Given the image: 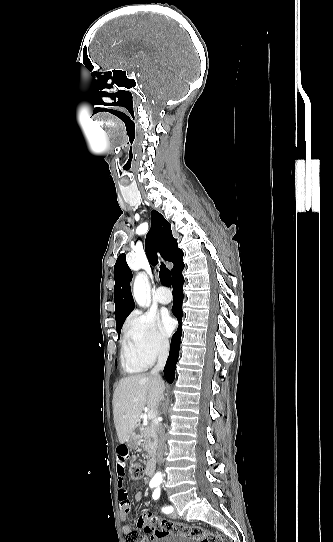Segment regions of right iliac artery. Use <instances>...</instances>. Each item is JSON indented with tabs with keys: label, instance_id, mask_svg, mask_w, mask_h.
<instances>
[{
	"label": "right iliac artery",
	"instance_id": "right-iliac-artery-1",
	"mask_svg": "<svg viewBox=\"0 0 333 542\" xmlns=\"http://www.w3.org/2000/svg\"><path fill=\"white\" fill-rule=\"evenodd\" d=\"M158 483H150V487L153 488L157 485Z\"/></svg>",
	"mask_w": 333,
	"mask_h": 542
}]
</instances>
